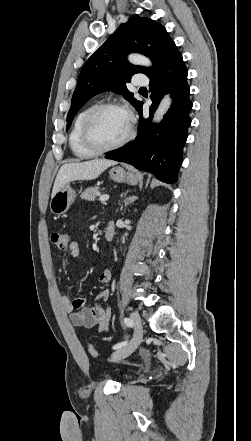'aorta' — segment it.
<instances>
[{
	"label": "aorta",
	"mask_w": 251,
	"mask_h": 441,
	"mask_svg": "<svg viewBox=\"0 0 251 441\" xmlns=\"http://www.w3.org/2000/svg\"><path fill=\"white\" fill-rule=\"evenodd\" d=\"M128 59L132 64H135V65H143V66H150L151 65V62L148 58H146L142 55H139V54H131V55H129ZM171 103H172V99H171L170 95L167 94L160 102V104L154 114V117H153L154 123H158L163 119L164 115L166 114V112L170 108Z\"/></svg>",
	"instance_id": "762f6f07"
}]
</instances>
